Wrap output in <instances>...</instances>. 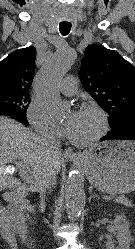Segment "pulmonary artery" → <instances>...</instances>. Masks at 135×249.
Instances as JSON below:
<instances>
[{
	"label": "pulmonary artery",
	"instance_id": "e3ab8cb5",
	"mask_svg": "<svg viewBox=\"0 0 135 249\" xmlns=\"http://www.w3.org/2000/svg\"><path fill=\"white\" fill-rule=\"evenodd\" d=\"M59 89L62 94L66 96H72L77 91V79L75 76L70 75L63 79L61 82Z\"/></svg>",
	"mask_w": 135,
	"mask_h": 249
}]
</instances>
